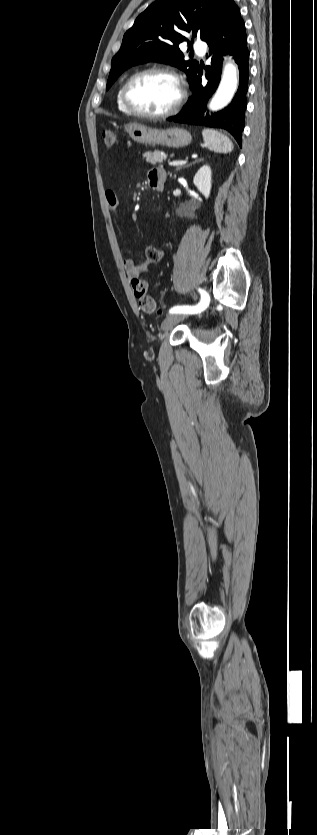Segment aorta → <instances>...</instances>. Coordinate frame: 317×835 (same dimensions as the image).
<instances>
[{"instance_id":"1","label":"aorta","mask_w":317,"mask_h":835,"mask_svg":"<svg viewBox=\"0 0 317 835\" xmlns=\"http://www.w3.org/2000/svg\"><path fill=\"white\" fill-rule=\"evenodd\" d=\"M237 73L235 65L232 63L225 65L218 89L209 103L210 110L218 111L231 102L238 87Z\"/></svg>"}]
</instances>
